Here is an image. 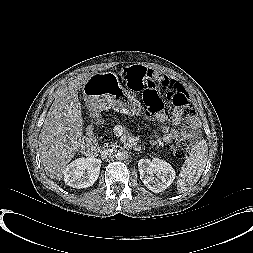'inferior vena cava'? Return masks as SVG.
<instances>
[{
  "label": "inferior vena cava",
  "mask_w": 253,
  "mask_h": 253,
  "mask_svg": "<svg viewBox=\"0 0 253 253\" xmlns=\"http://www.w3.org/2000/svg\"><path fill=\"white\" fill-rule=\"evenodd\" d=\"M112 152H113L112 149H107V150H104L102 153H103V155L106 156V157H107V156H108V157H111Z\"/></svg>",
  "instance_id": "1"
}]
</instances>
